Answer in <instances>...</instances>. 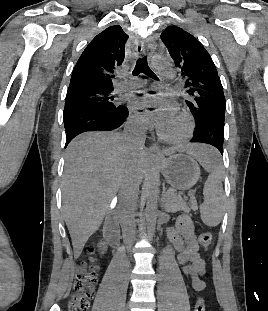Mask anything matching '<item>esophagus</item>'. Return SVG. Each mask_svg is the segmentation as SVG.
<instances>
[{
    "label": "esophagus",
    "instance_id": "esophagus-1",
    "mask_svg": "<svg viewBox=\"0 0 268 311\" xmlns=\"http://www.w3.org/2000/svg\"><path fill=\"white\" fill-rule=\"evenodd\" d=\"M136 51L140 54H145L147 51V47L146 44L143 40H141L137 45H136ZM149 150L151 152L152 155L158 156L160 155V147L153 143L151 144V146L149 147Z\"/></svg>",
    "mask_w": 268,
    "mask_h": 311
}]
</instances>
